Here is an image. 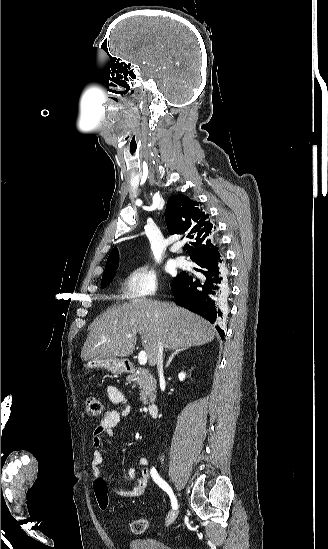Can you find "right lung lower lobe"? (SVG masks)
<instances>
[{"label": "right lung lower lobe", "instance_id": "right-lung-lower-lobe-1", "mask_svg": "<svg viewBox=\"0 0 328 549\" xmlns=\"http://www.w3.org/2000/svg\"><path fill=\"white\" fill-rule=\"evenodd\" d=\"M197 275L184 273L173 281L171 290L175 301L182 307L197 313L215 324L224 338L220 295L225 288L226 267L221 255L195 262Z\"/></svg>", "mask_w": 328, "mask_h": 549}]
</instances>
